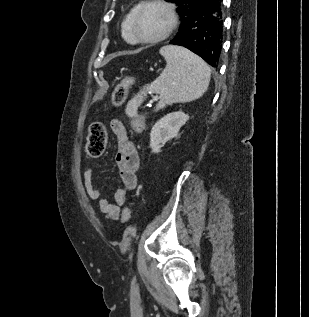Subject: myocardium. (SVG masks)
<instances>
[{
	"mask_svg": "<svg viewBox=\"0 0 309 317\" xmlns=\"http://www.w3.org/2000/svg\"><path fill=\"white\" fill-rule=\"evenodd\" d=\"M150 6H159L165 9L169 16V24L161 35L154 38H144L140 35L138 31L137 23L143 10H145L146 8ZM177 25H178V15L175 10V7L172 3L166 0H146L142 2L136 8V11L134 12V15L132 17V32L136 41L140 43L154 44V43L161 42L167 39L172 34V32L176 29Z\"/></svg>",
	"mask_w": 309,
	"mask_h": 317,
	"instance_id": "f54148a6",
	"label": "myocardium"
}]
</instances>
